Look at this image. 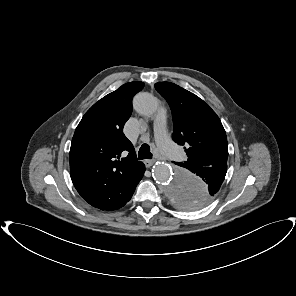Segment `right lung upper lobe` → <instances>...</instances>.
Returning <instances> with one entry per match:
<instances>
[{
	"mask_svg": "<svg viewBox=\"0 0 296 296\" xmlns=\"http://www.w3.org/2000/svg\"><path fill=\"white\" fill-rule=\"evenodd\" d=\"M143 82L122 85L95 103L77 126L70 148V176L81 197L101 210H117L135 191L137 161L123 126ZM127 155V156H124Z\"/></svg>",
	"mask_w": 296,
	"mask_h": 296,
	"instance_id": "obj_1",
	"label": "right lung upper lobe"
}]
</instances>
